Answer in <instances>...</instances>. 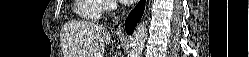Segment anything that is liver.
Wrapping results in <instances>:
<instances>
[{
    "mask_svg": "<svg viewBox=\"0 0 249 57\" xmlns=\"http://www.w3.org/2000/svg\"><path fill=\"white\" fill-rule=\"evenodd\" d=\"M110 32L93 22L71 21L63 27L65 57H104Z\"/></svg>",
    "mask_w": 249,
    "mask_h": 57,
    "instance_id": "obj_1",
    "label": "liver"
}]
</instances>
